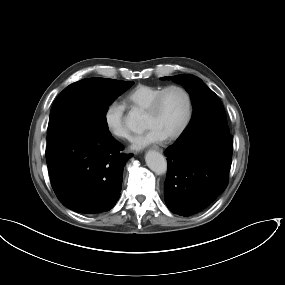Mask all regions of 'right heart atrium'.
Wrapping results in <instances>:
<instances>
[{
	"mask_svg": "<svg viewBox=\"0 0 285 285\" xmlns=\"http://www.w3.org/2000/svg\"><path fill=\"white\" fill-rule=\"evenodd\" d=\"M104 124L108 132L114 137L127 140L130 138V131L125 123L124 107L116 102H112L104 110Z\"/></svg>",
	"mask_w": 285,
	"mask_h": 285,
	"instance_id": "right-heart-atrium-1",
	"label": "right heart atrium"
}]
</instances>
